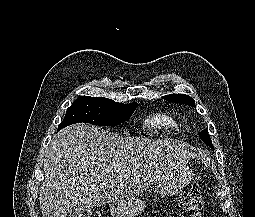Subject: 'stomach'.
Instances as JSON below:
<instances>
[{
  "mask_svg": "<svg viewBox=\"0 0 255 217\" xmlns=\"http://www.w3.org/2000/svg\"><path fill=\"white\" fill-rule=\"evenodd\" d=\"M192 176V169L185 163H181L159 177L160 190L164 195H176L187 186ZM145 207L144 200L135 198L113 202L109 205L110 213L114 217H135L142 213Z\"/></svg>",
  "mask_w": 255,
  "mask_h": 217,
  "instance_id": "stomach-1",
  "label": "stomach"
}]
</instances>
